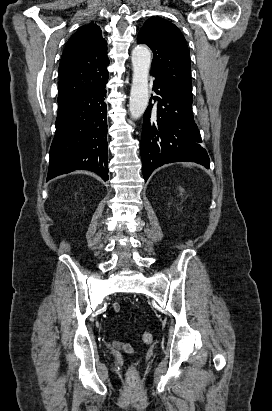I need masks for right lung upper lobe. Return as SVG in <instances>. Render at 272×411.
Listing matches in <instances>:
<instances>
[{
	"label": "right lung upper lobe",
	"mask_w": 272,
	"mask_h": 411,
	"mask_svg": "<svg viewBox=\"0 0 272 411\" xmlns=\"http://www.w3.org/2000/svg\"><path fill=\"white\" fill-rule=\"evenodd\" d=\"M107 42L93 22L67 42L59 65L58 103L90 91L108 80Z\"/></svg>",
	"instance_id": "obj_1"
}]
</instances>
